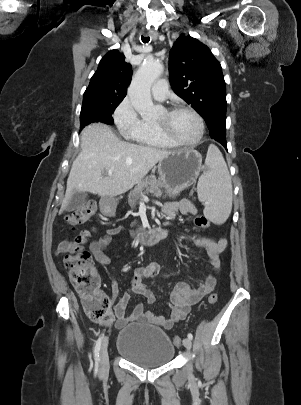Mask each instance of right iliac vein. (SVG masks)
I'll return each mask as SVG.
<instances>
[{"label":"right iliac vein","mask_w":301,"mask_h":405,"mask_svg":"<svg viewBox=\"0 0 301 405\" xmlns=\"http://www.w3.org/2000/svg\"><path fill=\"white\" fill-rule=\"evenodd\" d=\"M108 338L105 337L99 350V372L105 375L109 369Z\"/></svg>","instance_id":"right-iliac-vein-1"}]
</instances>
